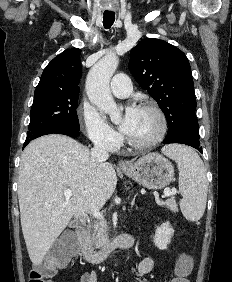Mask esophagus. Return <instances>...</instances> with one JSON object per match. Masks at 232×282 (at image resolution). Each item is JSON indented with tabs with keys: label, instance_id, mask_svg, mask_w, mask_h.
<instances>
[{
	"label": "esophagus",
	"instance_id": "obj_1",
	"mask_svg": "<svg viewBox=\"0 0 232 282\" xmlns=\"http://www.w3.org/2000/svg\"><path fill=\"white\" fill-rule=\"evenodd\" d=\"M118 166L122 169L128 168L130 165L126 161H119Z\"/></svg>",
	"mask_w": 232,
	"mask_h": 282
}]
</instances>
